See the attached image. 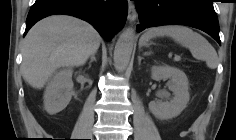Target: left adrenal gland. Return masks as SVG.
Returning <instances> with one entry per match:
<instances>
[{
  "mask_svg": "<svg viewBox=\"0 0 236 140\" xmlns=\"http://www.w3.org/2000/svg\"><path fill=\"white\" fill-rule=\"evenodd\" d=\"M143 58L142 57H138V65H141V60H142Z\"/></svg>",
  "mask_w": 236,
  "mask_h": 140,
  "instance_id": "left-adrenal-gland-1",
  "label": "left adrenal gland"
}]
</instances>
